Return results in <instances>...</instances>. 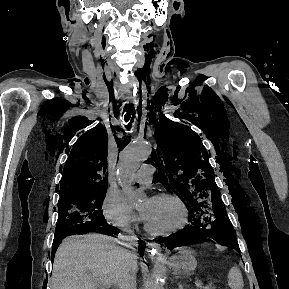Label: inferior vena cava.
<instances>
[{
  "instance_id": "obj_1",
  "label": "inferior vena cava",
  "mask_w": 289,
  "mask_h": 289,
  "mask_svg": "<svg viewBox=\"0 0 289 289\" xmlns=\"http://www.w3.org/2000/svg\"><path fill=\"white\" fill-rule=\"evenodd\" d=\"M126 232L129 234V236L125 237L128 243L131 246L136 245L137 241L136 237L134 236V233L129 229H126ZM136 260H137V253L135 251H129L126 269L120 281L119 289H136V278L135 275L133 274V267L136 264Z\"/></svg>"
}]
</instances>
